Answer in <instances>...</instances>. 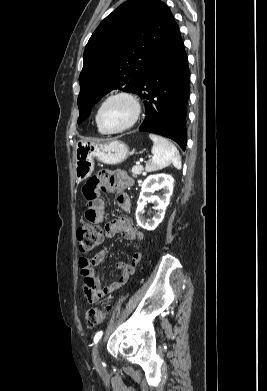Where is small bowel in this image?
Returning <instances> with one entry per match:
<instances>
[{"label": "small bowel", "mask_w": 267, "mask_h": 391, "mask_svg": "<svg viewBox=\"0 0 267 391\" xmlns=\"http://www.w3.org/2000/svg\"><path fill=\"white\" fill-rule=\"evenodd\" d=\"M132 184L131 178L123 171H103L97 176L90 178L83 186V195L86 200L85 220L88 224H99L105 218L106 204L103 194L113 193L117 196V204L123 211L131 209V200L125 190ZM105 235L113 237L120 234L125 240L138 242L143 240L144 235L125 217H118L105 226ZM106 257V251L101 250L91 258H80L83 289L89 302H95L106 294H110L122 287L129 276L134 272L135 266L142 258L139 252L134 253L131 263L126 261L117 262L115 270L122 273L119 281H110L102 286L94 267L101 264Z\"/></svg>", "instance_id": "1"}]
</instances>
